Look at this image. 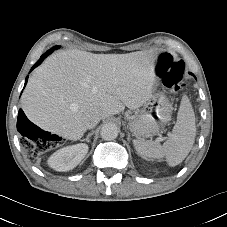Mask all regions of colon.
<instances>
[{
	"label": "colon",
	"mask_w": 227,
	"mask_h": 227,
	"mask_svg": "<svg viewBox=\"0 0 227 227\" xmlns=\"http://www.w3.org/2000/svg\"><path fill=\"white\" fill-rule=\"evenodd\" d=\"M156 75L162 79L164 84L178 92L183 88V78L185 74V65L181 60H176L171 54H161L155 66ZM33 142H25L24 150L30 156L34 157L38 153L49 150L52 144V138L49 133L37 131L32 137Z\"/></svg>",
	"instance_id": "obj_1"
}]
</instances>
